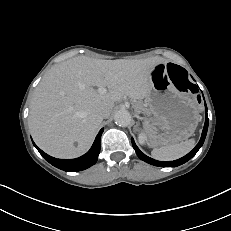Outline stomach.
<instances>
[{"mask_svg": "<svg viewBox=\"0 0 231 231\" xmlns=\"http://www.w3.org/2000/svg\"><path fill=\"white\" fill-rule=\"evenodd\" d=\"M159 63L150 71L151 90L144 128L152 147L182 142L195 131L201 117L200 105L190 93L179 90Z\"/></svg>", "mask_w": 231, "mask_h": 231, "instance_id": "0dacf381", "label": "stomach"}]
</instances>
